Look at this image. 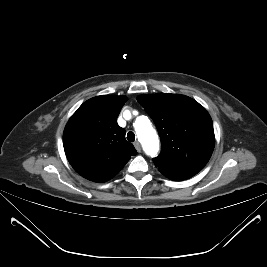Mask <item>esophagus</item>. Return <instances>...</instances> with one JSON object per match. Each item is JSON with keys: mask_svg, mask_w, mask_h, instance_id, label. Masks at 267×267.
Segmentation results:
<instances>
[{"mask_svg": "<svg viewBox=\"0 0 267 267\" xmlns=\"http://www.w3.org/2000/svg\"><path fill=\"white\" fill-rule=\"evenodd\" d=\"M134 146H135L137 152L140 153L141 152V145H140V143L137 141V142L134 143Z\"/></svg>", "mask_w": 267, "mask_h": 267, "instance_id": "esophagus-1", "label": "esophagus"}]
</instances>
